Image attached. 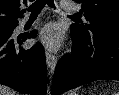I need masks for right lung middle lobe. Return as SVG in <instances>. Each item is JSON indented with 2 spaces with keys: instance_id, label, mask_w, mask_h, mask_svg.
Segmentation results:
<instances>
[{
  "instance_id": "1",
  "label": "right lung middle lobe",
  "mask_w": 119,
  "mask_h": 95,
  "mask_svg": "<svg viewBox=\"0 0 119 95\" xmlns=\"http://www.w3.org/2000/svg\"><path fill=\"white\" fill-rule=\"evenodd\" d=\"M15 26L11 27H0V36L10 35L13 33Z\"/></svg>"
}]
</instances>
